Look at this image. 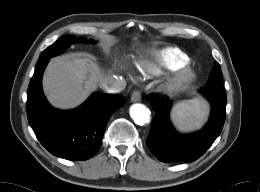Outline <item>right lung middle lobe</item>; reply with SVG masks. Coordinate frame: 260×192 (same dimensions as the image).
<instances>
[{
    "instance_id": "dd1d6c3e",
    "label": "right lung middle lobe",
    "mask_w": 260,
    "mask_h": 192,
    "mask_svg": "<svg viewBox=\"0 0 260 192\" xmlns=\"http://www.w3.org/2000/svg\"><path fill=\"white\" fill-rule=\"evenodd\" d=\"M76 38L70 35L60 37L54 44L45 49L38 59V63L49 60L51 57L61 54L70 44L74 43ZM78 41L88 42L85 38H79ZM94 43V40H90Z\"/></svg>"
}]
</instances>
